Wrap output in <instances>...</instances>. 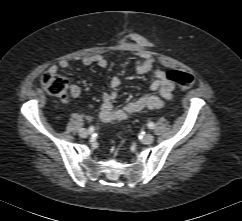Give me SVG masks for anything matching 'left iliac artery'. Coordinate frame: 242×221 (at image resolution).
Segmentation results:
<instances>
[{
	"mask_svg": "<svg viewBox=\"0 0 242 221\" xmlns=\"http://www.w3.org/2000/svg\"><path fill=\"white\" fill-rule=\"evenodd\" d=\"M147 126H148L150 129H154V127H155V125H154L153 122H149V123L147 124Z\"/></svg>",
	"mask_w": 242,
	"mask_h": 221,
	"instance_id": "1",
	"label": "left iliac artery"
}]
</instances>
